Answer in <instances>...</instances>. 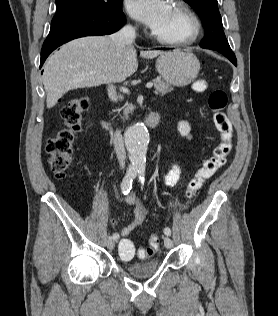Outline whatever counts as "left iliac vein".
Returning a JSON list of instances; mask_svg holds the SVG:
<instances>
[{"label": "left iliac vein", "instance_id": "obj_1", "mask_svg": "<svg viewBox=\"0 0 278 316\" xmlns=\"http://www.w3.org/2000/svg\"><path fill=\"white\" fill-rule=\"evenodd\" d=\"M164 245L166 248L170 249L173 247V241L171 240V238L169 236H166L164 238Z\"/></svg>", "mask_w": 278, "mask_h": 316}]
</instances>
